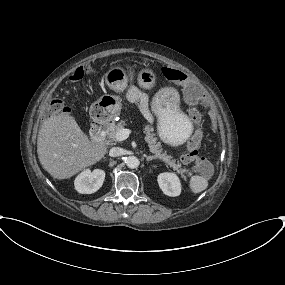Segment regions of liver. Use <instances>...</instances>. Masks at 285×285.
Returning a JSON list of instances; mask_svg holds the SVG:
<instances>
[{
  "label": "liver",
  "mask_w": 285,
  "mask_h": 285,
  "mask_svg": "<svg viewBox=\"0 0 285 285\" xmlns=\"http://www.w3.org/2000/svg\"><path fill=\"white\" fill-rule=\"evenodd\" d=\"M105 142L92 143L68 113L50 116L38 139L39 161L54 179H67L99 162L107 153Z\"/></svg>",
  "instance_id": "1"
}]
</instances>
